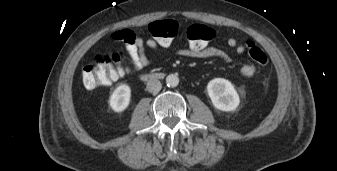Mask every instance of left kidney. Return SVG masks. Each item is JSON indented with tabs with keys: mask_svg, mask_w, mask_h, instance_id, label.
I'll return each instance as SVG.
<instances>
[{
	"mask_svg": "<svg viewBox=\"0 0 337 171\" xmlns=\"http://www.w3.org/2000/svg\"><path fill=\"white\" fill-rule=\"evenodd\" d=\"M207 92L215 108L221 111H234L240 98L233 84L224 78H215L207 85Z\"/></svg>",
	"mask_w": 337,
	"mask_h": 171,
	"instance_id": "5707ae66",
	"label": "left kidney"
}]
</instances>
